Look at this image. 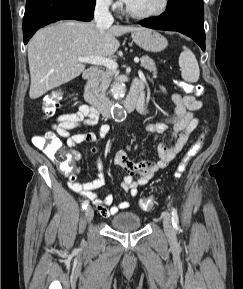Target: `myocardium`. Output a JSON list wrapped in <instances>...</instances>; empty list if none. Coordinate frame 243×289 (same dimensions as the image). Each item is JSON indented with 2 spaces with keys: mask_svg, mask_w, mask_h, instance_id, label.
Here are the masks:
<instances>
[{
  "mask_svg": "<svg viewBox=\"0 0 243 289\" xmlns=\"http://www.w3.org/2000/svg\"><path fill=\"white\" fill-rule=\"evenodd\" d=\"M168 6H169V0H161L160 5L157 9L150 11V12H146V13H138V12L131 10L128 4L126 3L125 13L132 18L149 19V18L157 17L163 14L167 10Z\"/></svg>",
  "mask_w": 243,
  "mask_h": 289,
  "instance_id": "1",
  "label": "myocardium"
}]
</instances>
